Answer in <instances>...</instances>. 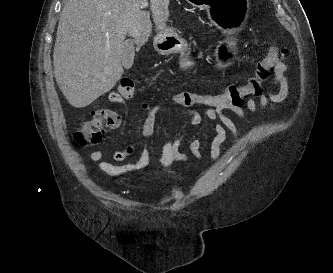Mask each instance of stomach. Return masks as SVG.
Masks as SVG:
<instances>
[{"instance_id": "0dacf381", "label": "stomach", "mask_w": 333, "mask_h": 273, "mask_svg": "<svg viewBox=\"0 0 333 273\" xmlns=\"http://www.w3.org/2000/svg\"><path fill=\"white\" fill-rule=\"evenodd\" d=\"M192 6L211 10L208 18L212 19L218 32H245L249 27L252 17L247 12L250 0H186ZM155 49L163 55L184 53L187 48L186 40L170 28L160 30L154 38ZM234 50L233 44H220L215 49V60H224L222 70H230L231 65H239V54L229 53ZM183 70H190V63L182 64Z\"/></svg>"}]
</instances>
